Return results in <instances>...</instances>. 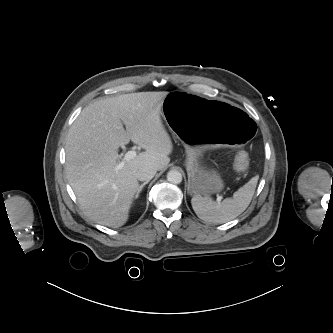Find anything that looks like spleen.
I'll return each instance as SVG.
<instances>
[{
  "instance_id": "spleen-1",
  "label": "spleen",
  "mask_w": 333,
  "mask_h": 333,
  "mask_svg": "<svg viewBox=\"0 0 333 333\" xmlns=\"http://www.w3.org/2000/svg\"><path fill=\"white\" fill-rule=\"evenodd\" d=\"M258 177H253L239 188L232 198L214 202L210 197L194 196L191 204L196 215L205 222L225 223L239 216L249 206L257 185Z\"/></svg>"
}]
</instances>
